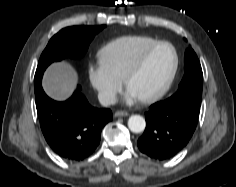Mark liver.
<instances>
[{"instance_id": "1", "label": "liver", "mask_w": 236, "mask_h": 187, "mask_svg": "<svg viewBox=\"0 0 236 187\" xmlns=\"http://www.w3.org/2000/svg\"><path fill=\"white\" fill-rule=\"evenodd\" d=\"M77 82L78 75L69 63H53L45 72L43 88L48 96L62 101L72 94Z\"/></svg>"}]
</instances>
